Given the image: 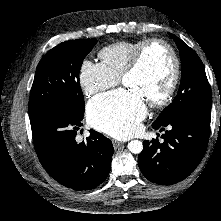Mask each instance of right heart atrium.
I'll return each instance as SVG.
<instances>
[{
  "label": "right heart atrium",
  "mask_w": 221,
  "mask_h": 221,
  "mask_svg": "<svg viewBox=\"0 0 221 221\" xmlns=\"http://www.w3.org/2000/svg\"><path fill=\"white\" fill-rule=\"evenodd\" d=\"M118 81L101 63L85 60L81 66L80 84L89 97L116 86Z\"/></svg>",
  "instance_id": "d8ad5b80"
}]
</instances>
